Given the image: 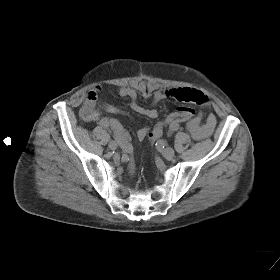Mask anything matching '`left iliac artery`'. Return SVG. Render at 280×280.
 <instances>
[{"label":"left iliac artery","mask_w":280,"mask_h":280,"mask_svg":"<svg viewBox=\"0 0 280 280\" xmlns=\"http://www.w3.org/2000/svg\"><path fill=\"white\" fill-rule=\"evenodd\" d=\"M179 128H180L179 123H173V124H171L170 127H169V132H170V133H173V132H175V131H178Z\"/></svg>","instance_id":"44dca946"}]
</instances>
